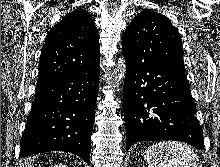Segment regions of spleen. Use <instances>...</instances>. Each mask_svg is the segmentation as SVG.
Wrapping results in <instances>:
<instances>
[{"label": "spleen", "mask_w": 220, "mask_h": 167, "mask_svg": "<svg viewBox=\"0 0 220 167\" xmlns=\"http://www.w3.org/2000/svg\"><path fill=\"white\" fill-rule=\"evenodd\" d=\"M148 167H202L194 150L181 142H159L144 151Z\"/></svg>", "instance_id": "3e777b00"}]
</instances>
